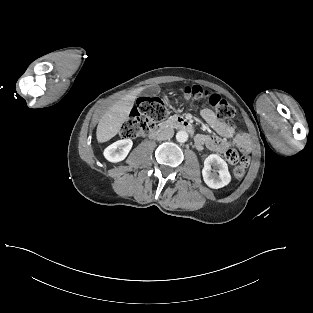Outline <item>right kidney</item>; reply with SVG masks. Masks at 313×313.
Instances as JSON below:
<instances>
[{
  "mask_svg": "<svg viewBox=\"0 0 313 313\" xmlns=\"http://www.w3.org/2000/svg\"><path fill=\"white\" fill-rule=\"evenodd\" d=\"M133 145L131 139L118 140L109 145L103 152L104 157L112 163L124 160L130 152Z\"/></svg>",
  "mask_w": 313,
  "mask_h": 313,
  "instance_id": "right-kidney-1",
  "label": "right kidney"
}]
</instances>
